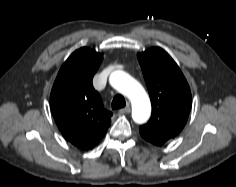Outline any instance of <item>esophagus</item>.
I'll return each instance as SVG.
<instances>
[{"label":"esophagus","instance_id":"esophagus-1","mask_svg":"<svg viewBox=\"0 0 236 187\" xmlns=\"http://www.w3.org/2000/svg\"><path fill=\"white\" fill-rule=\"evenodd\" d=\"M131 111L130 107L127 106L125 108H122L119 110V114H126V113H129Z\"/></svg>","mask_w":236,"mask_h":187}]
</instances>
